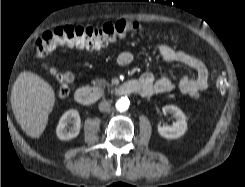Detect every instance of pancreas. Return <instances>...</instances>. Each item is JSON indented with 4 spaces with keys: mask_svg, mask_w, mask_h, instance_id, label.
I'll list each match as a JSON object with an SVG mask.
<instances>
[{
    "mask_svg": "<svg viewBox=\"0 0 245 187\" xmlns=\"http://www.w3.org/2000/svg\"><path fill=\"white\" fill-rule=\"evenodd\" d=\"M96 86H97V88L99 90H104L105 87H108V88L109 87H113L112 84H110V83H108V82H106L105 80H102V79L96 81Z\"/></svg>",
    "mask_w": 245,
    "mask_h": 187,
    "instance_id": "1",
    "label": "pancreas"
}]
</instances>
